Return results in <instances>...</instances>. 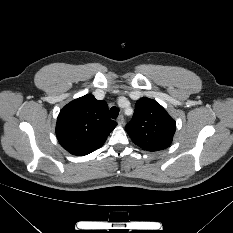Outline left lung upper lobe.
<instances>
[{
  "label": "left lung upper lobe",
  "instance_id": "left-lung-upper-lobe-1",
  "mask_svg": "<svg viewBox=\"0 0 233 233\" xmlns=\"http://www.w3.org/2000/svg\"><path fill=\"white\" fill-rule=\"evenodd\" d=\"M125 128L136 145L159 151L171 144L176 124L159 103L143 97L136 102L134 116Z\"/></svg>",
  "mask_w": 233,
  "mask_h": 233
}]
</instances>
